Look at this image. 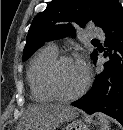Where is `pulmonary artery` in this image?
<instances>
[{"instance_id":"obj_1","label":"pulmonary artery","mask_w":123,"mask_h":130,"mask_svg":"<svg viewBox=\"0 0 123 130\" xmlns=\"http://www.w3.org/2000/svg\"><path fill=\"white\" fill-rule=\"evenodd\" d=\"M88 36L91 38L101 39L104 37V32L102 31V29L98 27H90L88 30ZM50 45L54 47L55 49H57L56 45L54 44H50Z\"/></svg>"}]
</instances>
